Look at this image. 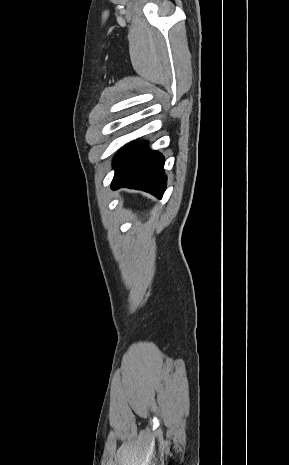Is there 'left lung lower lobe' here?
Masks as SVG:
<instances>
[{
	"mask_svg": "<svg viewBox=\"0 0 289 465\" xmlns=\"http://www.w3.org/2000/svg\"><path fill=\"white\" fill-rule=\"evenodd\" d=\"M147 145V142L127 145L115 156L112 189L129 187L162 198L167 179L163 169L164 158L160 153L148 150Z\"/></svg>",
	"mask_w": 289,
	"mask_h": 465,
	"instance_id": "left-lung-lower-lobe-1",
	"label": "left lung lower lobe"
}]
</instances>
